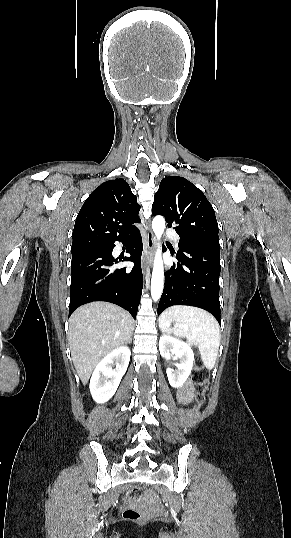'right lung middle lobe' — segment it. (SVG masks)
I'll return each mask as SVG.
<instances>
[{
  "label": "right lung middle lobe",
  "mask_w": 291,
  "mask_h": 538,
  "mask_svg": "<svg viewBox=\"0 0 291 538\" xmlns=\"http://www.w3.org/2000/svg\"><path fill=\"white\" fill-rule=\"evenodd\" d=\"M102 247H105V246H97V247H90V248H84V249L71 250V253H72V256H73V255H76V254H79V253H82V252H86V251H89V250L98 249V248H102Z\"/></svg>",
  "instance_id": "right-lung-middle-lobe-1"
}]
</instances>
